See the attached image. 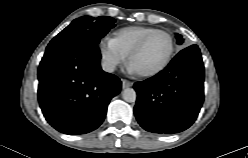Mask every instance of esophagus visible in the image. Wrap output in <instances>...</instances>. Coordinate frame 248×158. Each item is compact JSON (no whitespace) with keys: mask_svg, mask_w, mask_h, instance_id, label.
Listing matches in <instances>:
<instances>
[{"mask_svg":"<svg viewBox=\"0 0 248 158\" xmlns=\"http://www.w3.org/2000/svg\"><path fill=\"white\" fill-rule=\"evenodd\" d=\"M133 85V83L129 80H126V79H122V88L123 89H126V88H129Z\"/></svg>","mask_w":248,"mask_h":158,"instance_id":"obj_1","label":"esophagus"}]
</instances>
